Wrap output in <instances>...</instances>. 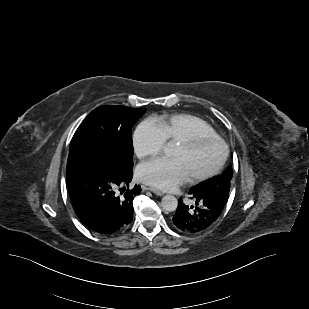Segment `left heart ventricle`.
<instances>
[{
  "label": "left heart ventricle",
  "mask_w": 309,
  "mask_h": 309,
  "mask_svg": "<svg viewBox=\"0 0 309 309\" xmlns=\"http://www.w3.org/2000/svg\"><path fill=\"white\" fill-rule=\"evenodd\" d=\"M220 153V146L214 142L202 144L194 149L177 144L172 157L182 161L191 177L210 171L217 164Z\"/></svg>",
  "instance_id": "b2bd125f"
}]
</instances>
